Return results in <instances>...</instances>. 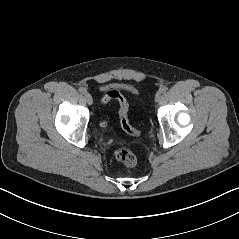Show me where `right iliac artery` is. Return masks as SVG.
Returning <instances> with one entry per match:
<instances>
[{
    "instance_id": "82829eb1",
    "label": "right iliac artery",
    "mask_w": 239,
    "mask_h": 239,
    "mask_svg": "<svg viewBox=\"0 0 239 239\" xmlns=\"http://www.w3.org/2000/svg\"><path fill=\"white\" fill-rule=\"evenodd\" d=\"M79 92L82 94H85L87 92V90L84 87H80Z\"/></svg>"
}]
</instances>
